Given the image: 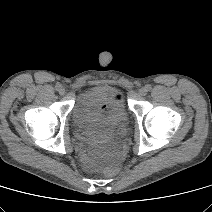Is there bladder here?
<instances>
[{
  "mask_svg": "<svg viewBox=\"0 0 212 212\" xmlns=\"http://www.w3.org/2000/svg\"><path fill=\"white\" fill-rule=\"evenodd\" d=\"M107 107L112 125L118 130L127 120V108L123 95L110 86H95L81 92L75 99L71 120L76 139L83 143L102 140L91 126L92 118L102 107Z\"/></svg>",
  "mask_w": 212,
  "mask_h": 212,
  "instance_id": "31cf9c89",
  "label": "bladder"
}]
</instances>
